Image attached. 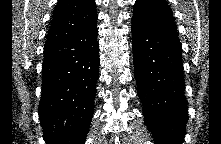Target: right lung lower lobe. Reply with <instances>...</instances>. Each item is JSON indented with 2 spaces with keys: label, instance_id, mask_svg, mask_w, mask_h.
Segmentation results:
<instances>
[{
  "label": "right lung lower lobe",
  "instance_id": "right-lung-lower-lobe-1",
  "mask_svg": "<svg viewBox=\"0 0 221 144\" xmlns=\"http://www.w3.org/2000/svg\"><path fill=\"white\" fill-rule=\"evenodd\" d=\"M96 24L45 47L38 108L48 144H84L94 112L99 78Z\"/></svg>",
  "mask_w": 221,
  "mask_h": 144
}]
</instances>
